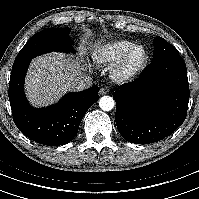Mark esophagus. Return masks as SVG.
Masks as SVG:
<instances>
[{
	"label": "esophagus",
	"instance_id": "esophagus-1",
	"mask_svg": "<svg viewBox=\"0 0 199 199\" xmlns=\"http://www.w3.org/2000/svg\"><path fill=\"white\" fill-rule=\"evenodd\" d=\"M109 91H110V89L108 88V87H102L100 90H99V93H100V95H106V94H108L109 93Z\"/></svg>",
	"mask_w": 199,
	"mask_h": 199
}]
</instances>
